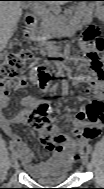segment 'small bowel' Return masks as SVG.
<instances>
[{"label": "small bowel", "mask_w": 104, "mask_h": 189, "mask_svg": "<svg viewBox=\"0 0 104 189\" xmlns=\"http://www.w3.org/2000/svg\"><path fill=\"white\" fill-rule=\"evenodd\" d=\"M63 72L64 67H61L59 73L62 74ZM31 78L39 81L37 70L35 68L31 70ZM22 82H25V78H22ZM72 82L74 84H85L86 92L95 96L89 104L94 101L101 102L103 83L98 74L83 73L73 77ZM41 85L44 87L47 86V84ZM8 104V95L0 98L1 128L10 138L11 145L16 148L24 168L32 175H43L48 169L54 167L62 168L64 171L69 169L72 163L80 158L83 149L89 141L93 140L100 134L103 125V116L96 119L90 117V111L88 109L89 104L86 106H80L74 114L76 127L73 131V135L68 136L57 126H52V122L55 121L56 116L53 114L49 103L37 101L32 96L26 95L21 99L20 110L13 118L8 117L4 112L8 107ZM41 107L45 108V111L42 114L38 112ZM33 120H41L45 125L52 127V142H45L40 137L45 150L51 152L52 156L50 159L39 164L32 163L33 153L30 147L15 133L13 129V124H25L34 129ZM81 132H85V134H81Z\"/></svg>", "instance_id": "c3829d8e"}]
</instances>
